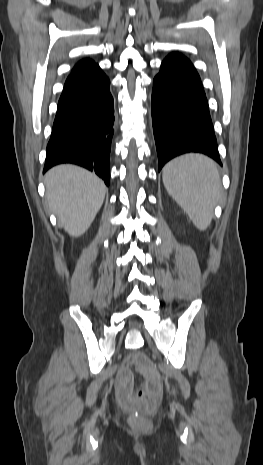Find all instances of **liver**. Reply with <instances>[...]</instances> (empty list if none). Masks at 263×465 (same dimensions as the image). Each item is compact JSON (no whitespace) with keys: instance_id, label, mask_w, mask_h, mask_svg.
Here are the masks:
<instances>
[{"instance_id":"liver-1","label":"liver","mask_w":263,"mask_h":465,"mask_svg":"<svg viewBox=\"0 0 263 465\" xmlns=\"http://www.w3.org/2000/svg\"><path fill=\"white\" fill-rule=\"evenodd\" d=\"M46 198L59 225L72 237L84 234L100 210L106 193L94 173L74 165H59L45 175Z\"/></svg>"}]
</instances>
